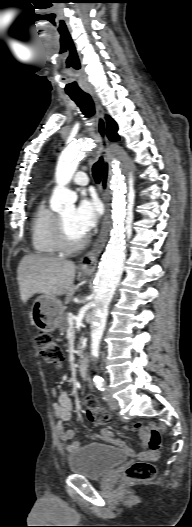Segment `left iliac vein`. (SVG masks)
<instances>
[{"label":"left iliac vein","instance_id":"left-iliac-vein-1","mask_svg":"<svg viewBox=\"0 0 192 527\" xmlns=\"http://www.w3.org/2000/svg\"><path fill=\"white\" fill-rule=\"evenodd\" d=\"M106 398H107V401H108L109 407H110L112 410H116V409L119 408L118 401H117L116 399H114V398L111 396V394L107 393Z\"/></svg>","mask_w":192,"mask_h":527}]
</instances>
